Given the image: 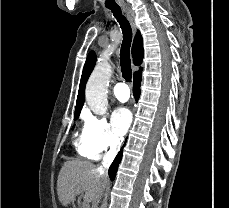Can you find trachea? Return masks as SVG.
Returning a JSON list of instances; mask_svg holds the SVG:
<instances>
[{
    "label": "trachea",
    "mask_w": 229,
    "mask_h": 208,
    "mask_svg": "<svg viewBox=\"0 0 229 208\" xmlns=\"http://www.w3.org/2000/svg\"><path fill=\"white\" fill-rule=\"evenodd\" d=\"M113 13V16L119 22L120 27L123 33V41L120 49V66L123 78L127 82H130L132 79V69H131V59H130V46L132 42V30L131 25L122 15L120 7H107Z\"/></svg>",
    "instance_id": "trachea-1"
}]
</instances>
